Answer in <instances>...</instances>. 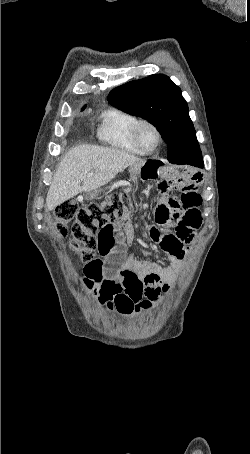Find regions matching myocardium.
<instances>
[{
  "label": "myocardium",
  "mask_w": 250,
  "mask_h": 454,
  "mask_svg": "<svg viewBox=\"0 0 250 454\" xmlns=\"http://www.w3.org/2000/svg\"><path fill=\"white\" fill-rule=\"evenodd\" d=\"M143 126H148V127L152 128L153 131L155 132L157 141H156L155 146L152 149H146L143 146V144L141 143L139 133H140V129ZM132 138H133L135 145L145 154L154 153L160 147V145L162 143V134H161L160 129L154 122L147 120V119L137 120V122L135 123V125L133 127Z\"/></svg>",
  "instance_id": "f54148a6"
}]
</instances>
